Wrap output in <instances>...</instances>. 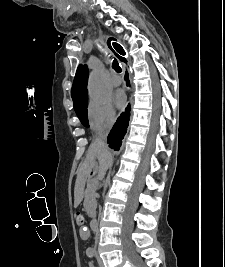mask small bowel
<instances>
[{
    "mask_svg": "<svg viewBox=\"0 0 225 267\" xmlns=\"http://www.w3.org/2000/svg\"><path fill=\"white\" fill-rule=\"evenodd\" d=\"M86 235H87V233H86L85 230L80 233V236L83 237V238L86 237Z\"/></svg>",
    "mask_w": 225,
    "mask_h": 267,
    "instance_id": "obj_1",
    "label": "small bowel"
}]
</instances>
